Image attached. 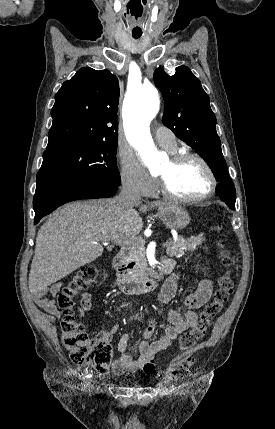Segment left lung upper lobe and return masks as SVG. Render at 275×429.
<instances>
[{"instance_id": "obj_1", "label": "left lung upper lobe", "mask_w": 275, "mask_h": 429, "mask_svg": "<svg viewBox=\"0 0 275 429\" xmlns=\"http://www.w3.org/2000/svg\"><path fill=\"white\" fill-rule=\"evenodd\" d=\"M154 82L165 100L164 125L206 160L220 182L217 186L223 187L222 200L235 208L236 190L223 158L216 117L199 79L186 66L177 67L172 76L159 67L154 72Z\"/></svg>"}]
</instances>
